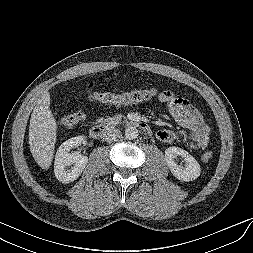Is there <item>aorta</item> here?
I'll return each mask as SVG.
<instances>
[{
	"instance_id": "762f6f07",
	"label": "aorta",
	"mask_w": 253,
	"mask_h": 253,
	"mask_svg": "<svg viewBox=\"0 0 253 253\" xmlns=\"http://www.w3.org/2000/svg\"><path fill=\"white\" fill-rule=\"evenodd\" d=\"M125 137L129 140L136 139L138 137V130L134 126H128L125 129Z\"/></svg>"
}]
</instances>
